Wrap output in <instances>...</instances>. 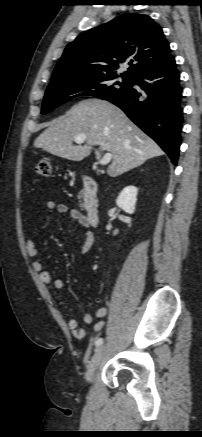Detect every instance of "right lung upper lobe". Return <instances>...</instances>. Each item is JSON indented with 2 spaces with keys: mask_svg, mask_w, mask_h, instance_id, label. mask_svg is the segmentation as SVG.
Instances as JSON below:
<instances>
[{
  "mask_svg": "<svg viewBox=\"0 0 202 437\" xmlns=\"http://www.w3.org/2000/svg\"><path fill=\"white\" fill-rule=\"evenodd\" d=\"M171 57L162 28L148 15L124 14L79 35L66 47L52 81L116 73L130 60L125 75L160 65Z\"/></svg>",
  "mask_w": 202,
  "mask_h": 437,
  "instance_id": "right-lung-upper-lobe-1",
  "label": "right lung upper lobe"
}]
</instances>
